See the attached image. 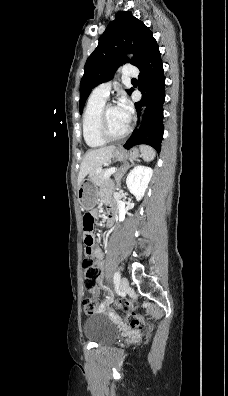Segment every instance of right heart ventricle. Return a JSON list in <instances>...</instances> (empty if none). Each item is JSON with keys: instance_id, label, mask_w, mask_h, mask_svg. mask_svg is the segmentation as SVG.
Instances as JSON below:
<instances>
[{"instance_id": "obj_1", "label": "right heart ventricle", "mask_w": 228, "mask_h": 396, "mask_svg": "<svg viewBox=\"0 0 228 396\" xmlns=\"http://www.w3.org/2000/svg\"><path fill=\"white\" fill-rule=\"evenodd\" d=\"M106 99L92 94L86 105L82 119V133L85 143L90 148H99L106 144L98 132V117Z\"/></svg>"}]
</instances>
